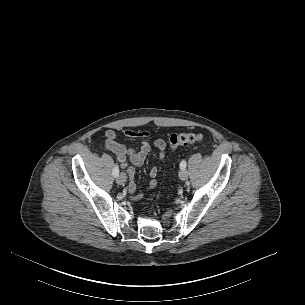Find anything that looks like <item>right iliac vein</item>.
I'll use <instances>...</instances> for the list:
<instances>
[{
    "mask_svg": "<svg viewBox=\"0 0 305 305\" xmlns=\"http://www.w3.org/2000/svg\"><path fill=\"white\" fill-rule=\"evenodd\" d=\"M126 174L124 172H121L119 174V176H117V179H116V182L119 184V185H124L125 182H126Z\"/></svg>",
    "mask_w": 305,
    "mask_h": 305,
    "instance_id": "obj_1",
    "label": "right iliac vein"
}]
</instances>
